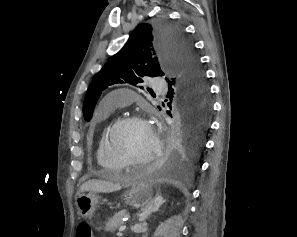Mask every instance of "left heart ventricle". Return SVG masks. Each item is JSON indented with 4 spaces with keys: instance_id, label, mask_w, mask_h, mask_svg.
<instances>
[{
    "instance_id": "1",
    "label": "left heart ventricle",
    "mask_w": 297,
    "mask_h": 237,
    "mask_svg": "<svg viewBox=\"0 0 297 237\" xmlns=\"http://www.w3.org/2000/svg\"><path fill=\"white\" fill-rule=\"evenodd\" d=\"M116 144L128 158L142 160L151 154L154 148V137L146 124L130 123L118 131Z\"/></svg>"
}]
</instances>
